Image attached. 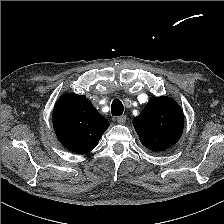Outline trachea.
<instances>
[{"mask_svg": "<svg viewBox=\"0 0 224 224\" xmlns=\"http://www.w3.org/2000/svg\"><path fill=\"white\" fill-rule=\"evenodd\" d=\"M124 110L123 104L119 99H115L111 104V113L113 116L122 115Z\"/></svg>", "mask_w": 224, "mask_h": 224, "instance_id": "trachea-1", "label": "trachea"}]
</instances>
